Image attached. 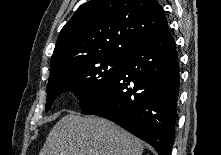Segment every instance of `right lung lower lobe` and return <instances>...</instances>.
Instances as JSON below:
<instances>
[{
  "mask_svg": "<svg viewBox=\"0 0 221 155\" xmlns=\"http://www.w3.org/2000/svg\"><path fill=\"white\" fill-rule=\"evenodd\" d=\"M179 63L169 29L140 40L112 82L81 113L109 119L171 155L179 93Z\"/></svg>",
  "mask_w": 221,
  "mask_h": 155,
  "instance_id": "obj_1",
  "label": "right lung lower lobe"
}]
</instances>
